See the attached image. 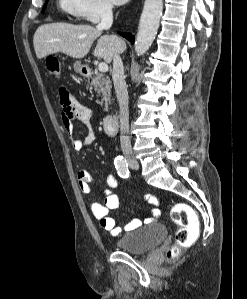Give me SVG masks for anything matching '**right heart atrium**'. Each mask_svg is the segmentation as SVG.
<instances>
[{
    "label": "right heart atrium",
    "instance_id": "1",
    "mask_svg": "<svg viewBox=\"0 0 247 299\" xmlns=\"http://www.w3.org/2000/svg\"><path fill=\"white\" fill-rule=\"evenodd\" d=\"M110 0H76L75 16L91 23H97L112 14Z\"/></svg>",
    "mask_w": 247,
    "mask_h": 299
}]
</instances>
